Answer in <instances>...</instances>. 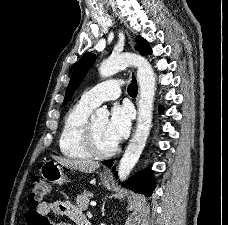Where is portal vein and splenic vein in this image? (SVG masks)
<instances>
[{"label": "portal vein and splenic vein", "instance_id": "18ae733b", "mask_svg": "<svg viewBox=\"0 0 228 225\" xmlns=\"http://www.w3.org/2000/svg\"><path fill=\"white\" fill-rule=\"evenodd\" d=\"M90 205H92V207H95L96 203H90Z\"/></svg>", "mask_w": 228, "mask_h": 225}]
</instances>
